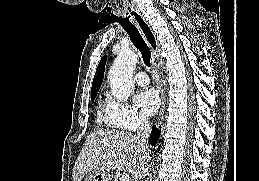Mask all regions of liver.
I'll return each instance as SVG.
<instances>
[{
	"mask_svg": "<svg viewBox=\"0 0 259 181\" xmlns=\"http://www.w3.org/2000/svg\"><path fill=\"white\" fill-rule=\"evenodd\" d=\"M150 150L144 149L136 135L118 130H97L89 134L75 162L73 181H81L92 171L109 174L119 170L131 173L134 180L147 171Z\"/></svg>",
	"mask_w": 259,
	"mask_h": 181,
	"instance_id": "1",
	"label": "liver"
}]
</instances>
